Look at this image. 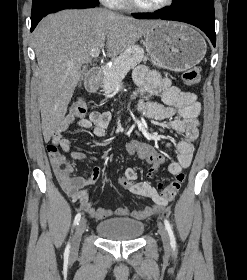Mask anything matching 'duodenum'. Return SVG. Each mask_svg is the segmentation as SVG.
Instances as JSON below:
<instances>
[{
	"label": "duodenum",
	"mask_w": 247,
	"mask_h": 280,
	"mask_svg": "<svg viewBox=\"0 0 247 280\" xmlns=\"http://www.w3.org/2000/svg\"><path fill=\"white\" fill-rule=\"evenodd\" d=\"M102 78V71L100 68H93L90 70L86 79V89L88 91H96L99 88Z\"/></svg>",
	"instance_id": "duodenum-1"
}]
</instances>
